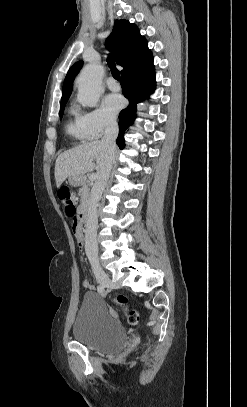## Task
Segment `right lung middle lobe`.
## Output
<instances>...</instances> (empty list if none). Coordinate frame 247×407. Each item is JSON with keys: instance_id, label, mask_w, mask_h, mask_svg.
Returning <instances> with one entry per match:
<instances>
[{"instance_id": "right-lung-middle-lobe-1", "label": "right lung middle lobe", "mask_w": 247, "mask_h": 407, "mask_svg": "<svg viewBox=\"0 0 247 407\" xmlns=\"http://www.w3.org/2000/svg\"><path fill=\"white\" fill-rule=\"evenodd\" d=\"M66 103H67V101H64V102H61V104H60V118H62V116H63V112H64Z\"/></svg>"}]
</instances>
